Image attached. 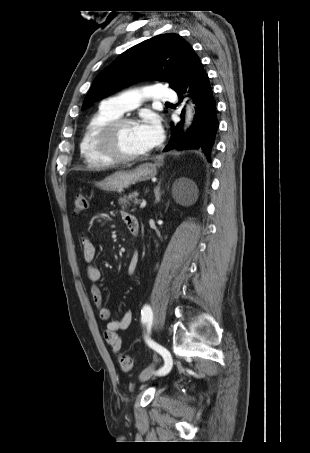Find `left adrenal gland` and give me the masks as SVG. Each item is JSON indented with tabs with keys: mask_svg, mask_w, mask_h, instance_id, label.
Wrapping results in <instances>:
<instances>
[{
	"mask_svg": "<svg viewBox=\"0 0 310 453\" xmlns=\"http://www.w3.org/2000/svg\"><path fill=\"white\" fill-rule=\"evenodd\" d=\"M160 183H161V180L159 181L158 185L154 189V194H155V198H156L155 202H159L160 201V196H161Z\"/></svg>",
	"mask_w": 310,
	"mask_h": 453,
	"instance_id": "1",
	"label": "left adrenal gland"
}]
</instances>
